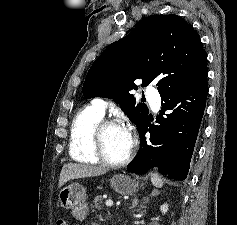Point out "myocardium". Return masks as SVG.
I'll return each instance as SVG.
<instances>
[{
	"mask_svg": "<svg viewBox=\"0 0 237 225\" xmlns=\"http://www.w3.org/2000/svg\"><path fill=\"white\" fill-rule=\"evenodd\" d=\"M109 127H124V128H126V126L118 120L102 118L93 127V130L91 133L92 147H93L94 154L97 157L98 161L106 166H109L112 168L123 167L131 161L133 154H134L136 141L131 136L132 137L131 147H130V150H129L127 156L124 159L117 161V162L109 160L104 152V147H103V135H104V132L106 131V129H108ZM127 130H129V129H127Z\"/></svg>",
	"mask_w": 237,
	"mask_h": 225,
	"instance_id": "myocardium-1",
	"label": "myocardium"
}]
</instances>
